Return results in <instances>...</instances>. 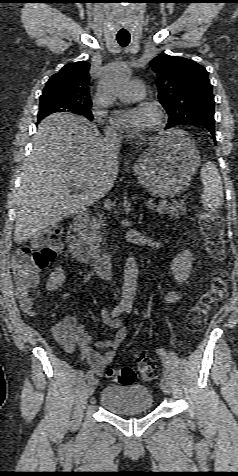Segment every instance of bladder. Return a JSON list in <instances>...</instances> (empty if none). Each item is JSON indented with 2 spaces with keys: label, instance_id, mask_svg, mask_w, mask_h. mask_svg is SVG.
I'll return each instance as SVG.
<instances>
[{
  "label": "bladder",
  "instance_id": "bladder-1",
  "mask_svg": "<svg viewBox=\"0 0 238 476\" xmlns=\"http://www.w3.org/2000/svg\"><path fill=\"white\" fill-rule=\"evenodd\" d=\"M100 405L119 416L148 412L153 408V395L142 384H110L101 392Z\"/></svg>",
  "mask_w": 238,
  "mask_h": 476
}]
</instances>
